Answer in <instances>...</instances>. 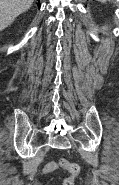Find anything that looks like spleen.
Masks as SVG:
<instances>
[{
	"label": "spleen",
	"instance_id": "obj_1",
	"mask_svg": "<svg viewBox=\"0 0 119 185\" xmlns=\"http://www.w3.org/2000/svg\"><path fill=\"white\" fill-rule=\"evenodd\" d=\"M101 3H105L107 0H98Z\"/></svg>",
	"mask_w": 119,
	"mask_h": 185
}]
</instances>
